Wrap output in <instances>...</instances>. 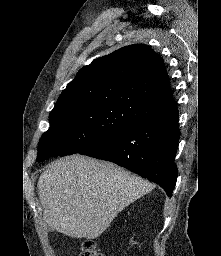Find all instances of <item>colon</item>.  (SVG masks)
<instances>
[{
    "instance_id": "colon-1",
    "label": "colon",
    "mask_w": 221,
    "mask_h": 256,
    "mask_svg": "<svg viewBox=\"0 0 221 256\" xmlns=\"http://www.w3.org/2000/svg\"><path fill=\"white\" fill-rule=\"evenodd\" d=\"M79 256H104V254L98 248L95 241L88 239L82 243L81 252Z\"/></svg>"
}]
</instances>
